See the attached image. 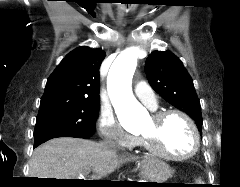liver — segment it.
Returning <instances> with one entry per match:
<instances>
[{
    "instance_id": "1",
    "label": "liver",
    "mask_w": 240,
    "mask_h": 187,
    "mask_svg": "<svg viewBox=\"0 0 240 187\" xmlns=\"http://www.w3.org/2000/svg\"><path fill=\"white\" fill-rule=\"evenodd\" d=\"M131 159L137 158L118 155L105 143L71 137L55 138L34 150L29 177L76 179L92 170L95 177L101 178Z\"/></svg>"
}]
</instances>
